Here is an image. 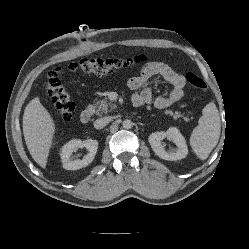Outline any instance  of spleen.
<instances>
[{"label":"spleen","mask_w":249,"mask_h":249,"mask_svg":"<svg viewBox=\"0 0 249 249\" xmlns=\"http://www.w3.org/2000/svg\"><path fill=\"white\" fill-rule=\"evenodd\" d=\"M220 132V116L216 105L210 102L203 108L198 126L190 137V145L200 160L208 158L219 141Z\"/></svg>","instance_id":"1"}]
</instances>
